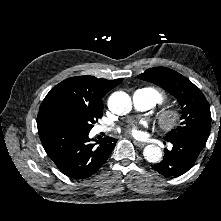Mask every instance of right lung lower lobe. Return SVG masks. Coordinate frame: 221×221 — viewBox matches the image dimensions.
<instances>
[{"instance_id":"right-lung-lower-lobe-1","label":"right lung lower lobe","mask_w":221,"mask_h":221,"mask_svg":"<svg viewBox=\"0 0 221 221\" xmlns=\"http://www.w3.org/2000/svg\"><path fill=\"white\" fill-rule=\"evenodd\" d=\"M38 134L48 156L57 168L73 179L95 174L112 153L117 139L106 137L91 143L88 133L60 124H38ZM98 144V146H96Z\"/></svg>"}]
</instances>
